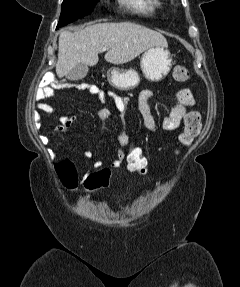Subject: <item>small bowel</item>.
Masks as SVG:
<instances>
[{
	"mask_svg": "<svg viewBox=\"0 0 240 287\" xmlns=\"http://www.w3.org/2000/svg\"><path fill=\"white\" fill-rule=\"evenodd\" d=\"M61 87H70L68 85L59 84L53 82L51 78L47 79V84L38 88L35 93V101L37 104V108L44 113L53 114L57 111V107L51 105L46 102V99L53 98L55 96V90ZM89 91L92 95L97 97L102 103H106L107 99H112L116 109L120 114V120L123 125L126 123V113L128 109L129 99L125 96L118 95L114 92L108 91L104 92L97 86H91ZM152 96V92L150 90H143L138 98V110L143 119V123L145 128L154 133L157 129V123L155 117L153 116L150 106L149 100ZM195 105V98L192 92L189 89H182L177 93V104L171 109V111L163 117L161 120V127L166 131H177L186 114L189 112ZM111 117V111L108 107H104L98 113V118L100 120V128L104 130L108 120ZM76 117L71 115H62L59 118V124L56 127V131L63 136H66V132L72 127L75 122ZM44 143L49 142L47 137L42 138ZM128 136L125 130H123L119 136V146L116 153V156L112 160L109 167L104 170H108L111 172L112 169H117L123 165H125L126 160V149L128 147ZM82 157L89 161L93 158V153L90 150H83ZM103 163L101 160L96 159L93 161L91 168L94 170L101 169Z\"/></svg>",
	"mask_w": 240,
	"mask_h": 287,
	"instance_id": "obj_1",
	"label": "small bowel"
}]
</instances>
